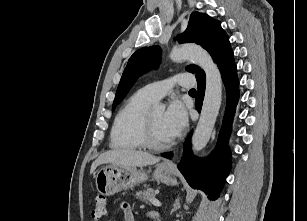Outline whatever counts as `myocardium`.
<instances>
[{
  "label": "myocardium",
  "mask_w": 307,
  "mask_h": 221,
  "mask_svg": "<svg viewBox=\"0 0 307 221\" xmlns=\"http://www.w3.org/2000/svg\"><path fill=\"white\" fill-rule=\"evenodd\" d=\"M141 142L143 147H146L152 151H162L171 146V141L159 143L154 138V129L152 123V111L148 110L144 116L142 130H141Z\"/></svg>",
  "instance_id": "1"
}]
</instances>
